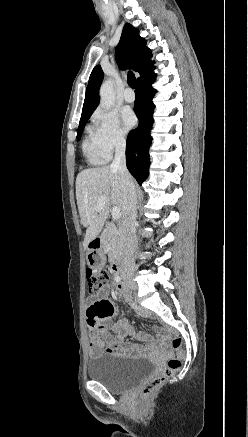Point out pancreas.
<instances>
[{
    "mask_svg": "<svg viewBox=\"0 0 248 437\" xmlns=\"http://www.w3.org/2000/svg\"><path fill=\"white\" fill-rule=\"evenodd\" d=\"M105 245L110 250L109 258L114 259L119 255L122 248V234L120 228L114 225L108 227L104 232Z\"/></svg>",
    "mask_w": 248,
    "mask_h": 437,
    "instance_id": "1",
    "label": "pancreas"
}]
</instances>
